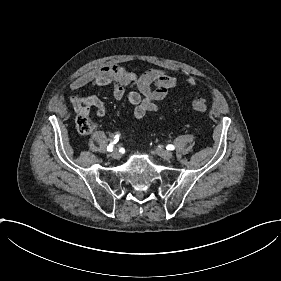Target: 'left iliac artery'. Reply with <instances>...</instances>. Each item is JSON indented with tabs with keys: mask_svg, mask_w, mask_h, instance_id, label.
Instances as JSON below:
<instances>
[{
	"mask_svg": "<svg viewBox=\"0 0 281 281\" xmlns=\"http://www.w3.org/2000/svg\"><path fill=\"white\" fill-rule=\"evenodd\" d=\"M166 149H167V150H174L175 147H174L173 145H168V146L166 147Z\"/></svg>",
	"mask_w": 281,
	"mask_h": 281,
	"instance_id": "left-iliac-artery-1",
	"label": "left iliac artery"
}]
</instances>
